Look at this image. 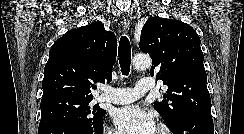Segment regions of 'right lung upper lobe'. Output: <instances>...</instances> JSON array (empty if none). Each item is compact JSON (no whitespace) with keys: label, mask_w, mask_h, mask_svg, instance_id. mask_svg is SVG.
Here are the masks:
<instances>
[{"label":"right lung upper lobe","mask_w":244,"mask_h":134,"mask_svg":"<svg viewBox=\"0 0 244 134\" xmlns=\"http://www.w3.org/2000/svg\"><path fill=\"white\" fill-rule=\"evenodd\" d=\"M116 55V36L102 23L68 31L49 51L41 101L61 96L93 100L94 83L112 80Z\"/></svg>","instance_id":"cb5924a9"}]
</instances>
